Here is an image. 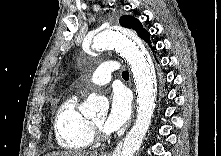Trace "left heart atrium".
Wrapping results in <instances>:
<instances>
[{
  "instance_id": "left-heart-atrium-1",
  "label": "left heart atrium",
  "mask_w": 221,
  "mask_h": 156,
  "mask_svg": "<svg viewBox=\"0 0 221 156\" xmlns=\"http://www.w3.org/2000/svg\"><path fill=\"white\" fill-rule=\"evenodd\" d=\"M131 116V98L123 88H114L110 95V109L103 124L106 132L118 131Z\"/></svg>"
}]
</instances>
